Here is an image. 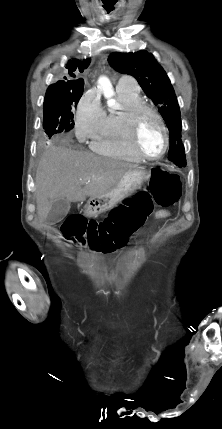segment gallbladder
<instances>
[{"label": "gallbladder", "instance_id": "obj_1", "mask_svg": "<svg viewBox=\"0 0 222 429\" xmlns=\"http://www.w3.org/2000/svg\"><path fill=\"white\" fill-rule=\"evenodd\" d=\"M70 209V201L66 198L55 201L47 216V220L51 224H55L64 219Z\"/></svg>", "mask_w": 222, "mask_h": 429}]
</instances>
